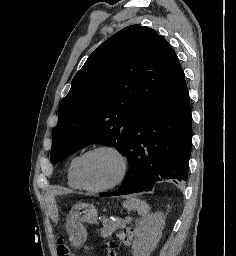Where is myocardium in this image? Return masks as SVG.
<instances>
[{"instance_id":"myocardium-1","label":"myocardium","mask_w":236,"mask_h":256,"mask_svg":"<svg viewBox=\"0 0 236 256\" xmlns=\"http://www.w3.org/2000/svg\"><path fill=\"white\" fill-rule=\"evenodd\" d=\"M99 151H110V152L114 153L118 157L119 162H120V172H119V175L117 176V178L112 183L102 186V187H90L85 183V181L83 179L82 165H83L85 158L88 155L93 154L95 152H99ZM128 171H129L128 157L125 154V152L115 144H100L91 149H88L87 151H85L84 153L81 154V156L79 157V159L77 161V165H76V177H77V180H78L81 188H83L84 190L91 192V193H102V192H106V191L116 188L125 180V178L128 174Z\"/></svg>"}]
</instances>
